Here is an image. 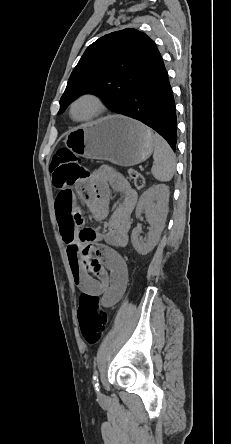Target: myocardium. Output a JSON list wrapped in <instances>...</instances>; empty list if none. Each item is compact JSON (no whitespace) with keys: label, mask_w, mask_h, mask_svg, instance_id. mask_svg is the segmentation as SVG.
I'll list each match as a JSON object with an SVG mask.
<instances>
[{"label":"myocardium","mask_w":231,"mask_h":444,"mask_svg":"<svg viewBox=\"0 0 231 444\" xmlns=\"http://www.w3.org/2000/svg\"><path fill=\"white\" fill-rule=\"evenodd\" d=\"M82 99L92 100L96 105V110L92 115H90L88 117L76 118L73 114V110H74L75 105ZM105 110H106L105 103L99 95H97L96 93H92V92H86V93L80 94L71 102L70 107H69V114H70V117L76 122H90V121H94V120L100 118L105 113Z\"/></svg>","instance_id":"obj_1"}]
</instances>
